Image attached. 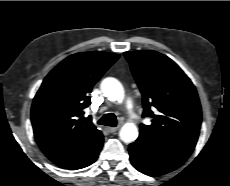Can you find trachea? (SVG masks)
<instances>
[{"mask_svg":"<svg viewBox=\"0 0 230 186\" xmlns=\"http://www.w3.org/2000/svg\"><path fill=\"white\" fill-rule=\"evenodd\" d=\"M98 124L115 127L117 125V118L113 113H108L99 119Z\"/></svg>","mask_w":230,"mask_h":186,"instance_id":"obj_1","label":"trachea"}]
</instances>
